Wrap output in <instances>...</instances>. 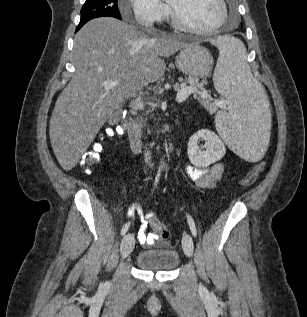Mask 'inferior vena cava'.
Returning <instances> with one entry per match:
<instances>
[{"label": "inferior vena cava", "mask_w": 307, "mask_h": 317, "mask_svg": "<svg viewBox=\"0 0 307 317\" xmlns=\"http://www.w3.org/2000/svg\"><path fill=\"white\" fill-rule=\"evenodd\" d=\"M150 155H151L150 151L147 150V148H146V150L144 151V156H145V162L146 163H148V161L150 160V158H151Z\"/></svg>", "instance_id": "obj_1"}]
</instances>
